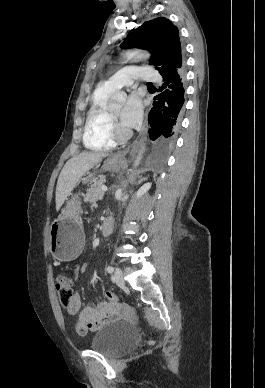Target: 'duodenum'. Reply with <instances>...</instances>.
I'll list each match as a JSON object with an SVG mask.
<instances>
[{"instance_id":"410a0bca","label":"duodenum","mask_w":265,"mask_h":388,"mask_svg":"<svg viewBox=\"0 0 265 388\" xmlns=\"http://www.w3.org/2000/svg\"><path fill=\"white\" fill-rule=\"evenodd\" d=\"M114 226V220L111 217H107L103 220L101 225V232L103 235L107 236L112 232Z\"/></svg>"}]
</instances>
